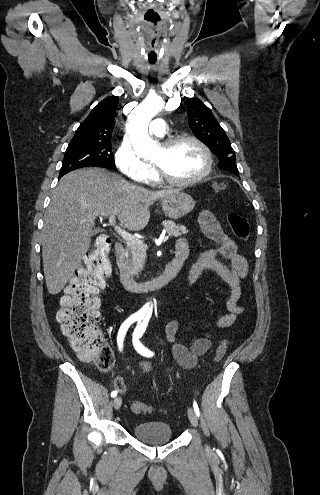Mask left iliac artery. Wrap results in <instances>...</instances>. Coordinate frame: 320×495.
<instances>
[{
	"instance_id": "1",
	"label": "left iliac artery",
	"mask_w": 320,
	"mask_h": 495,
	"mask_svg": "<svg viewBox=\"0 0 320 495\" xmlns=\"http://www.w3.org/2000/svg\"><path fill=\"white\" fill-rule=\"evenodd\" d=\"M147 324H148L147 319H143L142 321H140L138 323V325L136 326V328L133 332V345H134V347L138 353H140L141 355H143L145 357H151L154 355V353L151 350H149L148 348H146L145 346H143L142 343L139 341V338L142 337V335L144 334V332L146 330ZM193 407H194V411H195L196 415L199 416L200 411H199V407H198L196 401H194Z\"/></svg>"
}]
</instances>
